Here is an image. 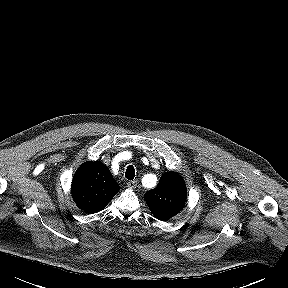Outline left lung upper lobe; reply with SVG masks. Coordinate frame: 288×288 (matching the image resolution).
Masks as SVG:
<instances>
[{"instance_id": "5c2ea615", "label": "left lung upper lobe", "mask_w": 288, "mask_h": 288, "mask_svg": "<svg viewBox=\"0 0 288 288\" xmlns=\"http://www.w3.org/2000/svg\"><path fill=\"white\" fill-rule=\"evenodd\" d=\"M146 203L159 220H168L184 207L187 190L183 179L176 172L164 173L156 188L144 195Z\"/></svg>"}]
</instances>
